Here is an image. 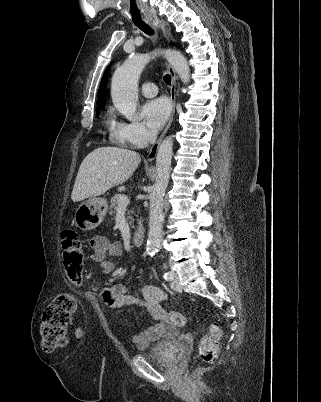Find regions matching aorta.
Listing matches in <instances>:
<instances>
[{"mask_svg": "<svg viewBox=\"0 0 321 402\" xmlns=\"http://www.w3.org/2000/svg\"><path fill=\"white\" fill-rule=\"evenodd\" d=\"M158 54L163 55L183 83L190 80V68L184 55L176 50L165 49L150 54L129 56L115 71L112 77L111 97L116 109L130 120L137 119L139 77L150 61ZM173 155V138L166 137L158 148L156 157V179L149 195V230L146 252L155 255L162 241L163 197L170 178V166Z\"/></svg>", "mask_w": 321, "mask_h": 402, "instance_id": "aorta-1", "label": "aorta"}]
</instances>
